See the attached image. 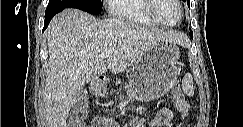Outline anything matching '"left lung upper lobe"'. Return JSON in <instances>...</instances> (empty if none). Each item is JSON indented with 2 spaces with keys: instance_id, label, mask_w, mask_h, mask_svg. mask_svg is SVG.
Returning a JSON list of instances; mask_svg holds the SVG:
<instances>
[{
  "instance_id": "5c2ea615",
  "label": "left lung upper lobe",
  "mask_w": 243,
  "mask_h": 127,
  "mask_svg": "<svg viewBox=\"0 0 243 127\" xmlns=\"http://www.w3.org/2000/svg\"><path fill=\"white\" fill-rule=\"evenodd\" d=\"M184 2H187L188 6L190 7V0H183Z\"/></svg>"
}]
</instances>
